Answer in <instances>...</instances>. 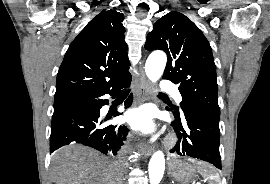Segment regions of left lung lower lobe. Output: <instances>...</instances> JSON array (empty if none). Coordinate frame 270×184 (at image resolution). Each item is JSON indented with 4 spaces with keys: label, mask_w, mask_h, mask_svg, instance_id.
<instances>
[{
    "label": "left lung lower lobe",
    "mask_w": 270,
    "mask_h": 184,
    "mask_svg": "<svg viewBox=\"0 0 270 184\" xmlns=\"http://www.w3.org/2000/svg\"><path fill=\"white\" fill-rule=\"evenodd\" d=\"M174 117L178 141L171 152L209 162L221 169L219 120L195 110L184 111L182 118L175 114Z\"/></svg>",
    "instance_id": "left-lung-lower-lobe-1"
}]
</instances>
